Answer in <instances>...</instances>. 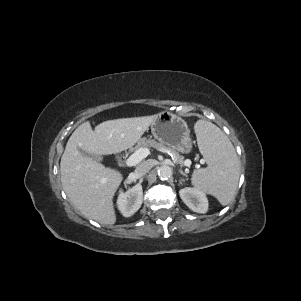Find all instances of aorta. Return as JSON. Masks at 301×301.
<instances>
[{
	"label": "aorta",
	"instance_id": "obj_1",
	"mask_svg": "<svg viewBox=\"0 0 301 301\" xmlns=\"http://www.w3.org/2000/svg\"><path fill=\"white\" fill-rule=\"evenodd\" d=\"M172 175V169L168 165H163L158 169V176L162 180L170 178Z\"/></svg>",
	"mask_w": 301,
	"mask_h": 301
}]
</instances>
